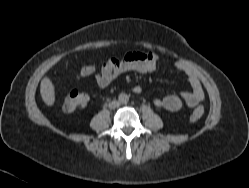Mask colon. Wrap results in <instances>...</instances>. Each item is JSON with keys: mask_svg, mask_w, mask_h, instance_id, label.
<instances>
[{"mask_svg": "<svg viewBox=\"0 0 249 188\" xmlns=\"http://www.w3.org/2000/svg\"><path fill=\"white\" fill-rule=\"evenodd\" d=\"M93 68L90 66L83 67L81 69L80 75L87 76L91 74ZM89 95L86 92H82L79 90H72L67 95L65 102H64V110L67 112H71L79 107H83L88 104L89 102ZM204 114V108L202 106H198L195 108L192 113L190 114V120L196 121L200 119Z\"/></svg>", "mask_w": 249, "mask_h": 188, "instance_id": "colon-1", "label": "colon"}]
</instances>
